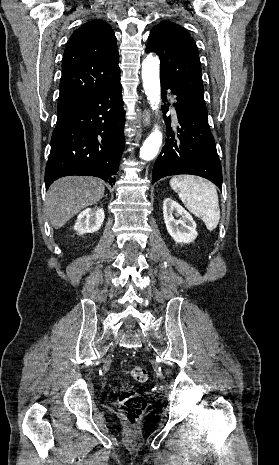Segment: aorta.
Listing matches in <instances>:
<instances>
[{"mask_svg": "<svg viewBox=\"0 0 279 465\" xmlns=\"http://www.w3.org/2000/svg\"><path fill=\"white\" fill-rule=\"evenodd\" d=\"M160 61L158 57L148 55L142 63V80L143 88L147 99L153 110L159 109L161 99L160 95V78H159ZM162 144V133L156 125L150 135L144 141L140 148V158L150 161L158 154Z\"/></svg>", "mask_w": 279, "mask_h": 465, "instance_id": "1", "label": "aorta"}]
</instances>
